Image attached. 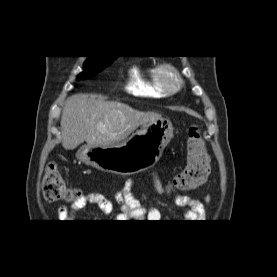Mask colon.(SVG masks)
I'll use <instances>...</instances> for the list:
<instances>
[{
  "instance_id": "colon-1",
  "label": "colon",
  "mask_w": 277,
  "mask_h": 277,
  "mask_svg": "<svg viewBox=\"0 0 277 277\" xmlns=\"http://www.w3.org/2000/svg\"><path fill=\"white\" fill-rule=\"evenodd\" d=\"M187 160L184 169L175 177L173 186L190 190L201 186L209 174V158L205 141L199 128L192 125L188 130ZM42 195L49 202H75L81 193L68 187L57 165L48 163L42 180Z\"/></svg>"
}]
</instances>
